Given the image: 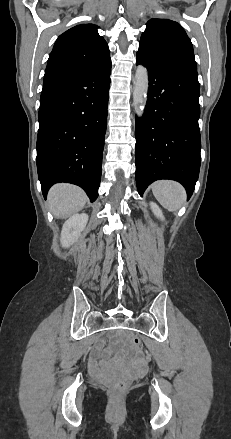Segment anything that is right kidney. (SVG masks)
<instances>
[{
    "mask_svg": "<svg viewBox=\"0 0 231 439\" xmlns=\"http://www.w3.org/2000/svg\"><path fill=\"white\" fill-rule=\"evenodd\" d=\"M88 222V215L85 213L82 214H74L71 216L62 227L61 231V243L62 246L68 247L73 244L81 232L86 227Z\"/></svg>",
    "mask_w": 231,
    "mask_h": 439,
    "instance_id": "obj_1",
    "label": "right kidney"
}]
</instances>
